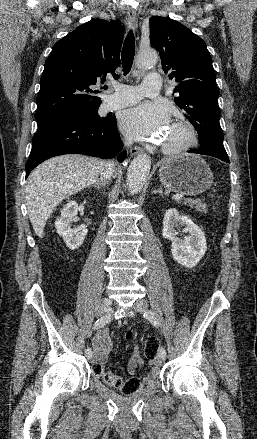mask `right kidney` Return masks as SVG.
<instances>
[{"instance_id":"1","label":"right kidney","mask_w":257,"mask_h":439,"mask_svg":"<svg viewBox=\"0 0 257 439\" xmlns=\"http://www.w3.org/2000/svg\"><path fill=\"white\" fill-rule=\"evenodd\" d=\"M78 212V204L75 201H69L61 210V217L55 222L57 233L63 237L66 246L70 250L78 249L87 235L85 226L72 230L71 221L76 217Z\"/></svg>"}]
</instances>
